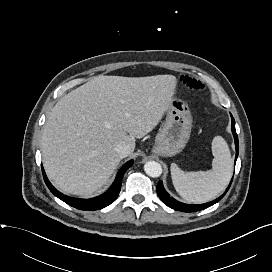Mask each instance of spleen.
I'll list each match as a JSON object with an SVG mask.
<instances>
[{
    "label": "spleen",
    "mask_w": 272,
    "mask_h": 272,
    "mask_svg": "<svg viewBox=\"0 0 272 272\" xmlns=\"http://www.w3.org/2000/svg\"><path fill=\"white\" fill-rule=\"evenodd\" d=\"M212 169L208 171H182L171 164V177L178 194L191 203H205L216 198L228 185L233 171V160L229 147L221 136L212 141Z\"/></svg>",
    "instance_id": "spleen-1"
}]
</instances>
